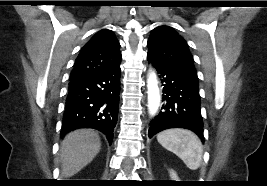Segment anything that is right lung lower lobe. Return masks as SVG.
<instances>
[{"mask_svg": "<svg viewBox=\"0 0 267 186\" xmlns=\"http://www.w3.org/2000/svg\"><path fill=\"white\" fill-rule=\"evenodd\" d=\"M120 63L70 77L61 136L78 128H93L112 143L118 119Z\"/></svg>", "mask_w": 267, "mask_h": 186, "instance_id": "right-lung-lower-lobe-1", "label": "right lung lower lobe"}]
</instances>
